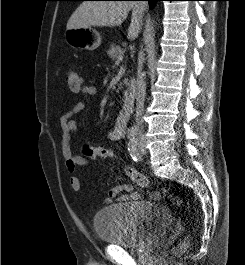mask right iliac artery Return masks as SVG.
Segmentation results:
<instances>
[{
    "mask_svg": "<svg viewBox=\"0 0 245 265\" xmlns=\"http://www.w3.org/2000/svg\"><path fill=\"white\" fill-rule=\"evenodd\" d=\"M135 136V132L134 131H129L128 132V138H133Z\"/></svg>",
    "mask_w": 245,
    "mask_h": 265,
    "instance_id": "82829eb1",
    "label": "right iliac artery"
}]
</instances>
